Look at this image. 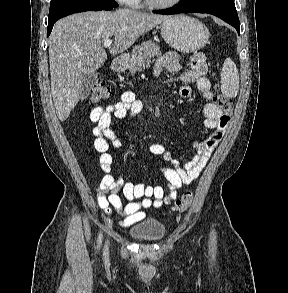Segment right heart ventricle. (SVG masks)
<instances>
[{
    "instance_id": "right-heart-ventricle-1",
    "label": "right heart ventricle",
    "mask_w": 288,
    "mask_h": 293,
    "mask_svg": "<svg viewBox=\"0 0 288 293\" xmlns=\"http://www.w3.org/2000/svg\"><path fill=\"white\" fill-rule=\"evenodd\" d=\"M130 5L133 7H140L141 0H134Z\"/></svg>"
}]
</instances>
